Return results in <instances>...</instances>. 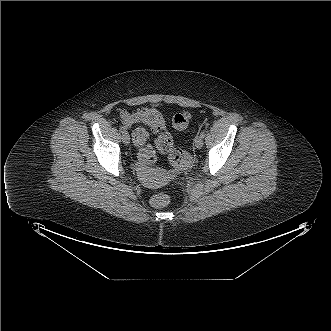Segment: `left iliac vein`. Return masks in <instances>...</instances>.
Instances as JSON below:
<instances>
[{
    "instance_id": "4c4485c4",
    "label": "left iliac vein",
    "mask_w": 331,
    "mask_h": 331,
    "mask_svg": "<svg viewBox=\"0 0 331 331\" xmlns=\"http://www.w3.org/2000/svg\"><path fill=\"white\" fill-rule=\"evenodd\" d=\"M194 143L197 148H201L203 146V138L201 137V135H197L195 137Z\"/></svg>"
}]
</instances>
